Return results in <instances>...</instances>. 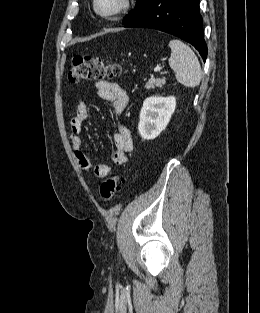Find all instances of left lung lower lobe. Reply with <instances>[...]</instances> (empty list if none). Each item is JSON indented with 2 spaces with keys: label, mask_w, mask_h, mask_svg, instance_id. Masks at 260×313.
I'll return each instance as SVG.
<instances>
[{
  "label": "left lung lower lobe",
  "mask_w": 260,
  "mask_h": 313,
  "mask_svg": "<svg viewBox=\"0 0 260 313\" xmlns=\"http://www.w3.org/2000/svg\"><path fill=\"white\" fill-rule=\"evenodd\" d=\"M200 0H151L124 27L153 28L175 35L199 52L203 60L207 57L202 17L199 13Z\"/></svg>",
  "instance_id": "0a47b994"
}]
</instances>
